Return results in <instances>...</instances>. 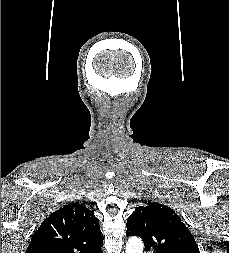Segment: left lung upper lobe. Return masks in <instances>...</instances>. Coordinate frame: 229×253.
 Listing matches in <instances>:
<instances>
[{
    "mask_svg": "<svg viewBox=\"0 0 229 253\" xmlns=\"http://www.w3.org/2000/svg\"><path fill=\"white\" fill-rule=\"evenodd\" d=\"M128 217V236H138L149 253H200L194 237L170 207L144 201Z\"/></svg>",
    "mask_w": 229,
    "mask_h": 253,
    "instance_id": "1",
    "label": "left lung upper lobe"
}]
</instances>
